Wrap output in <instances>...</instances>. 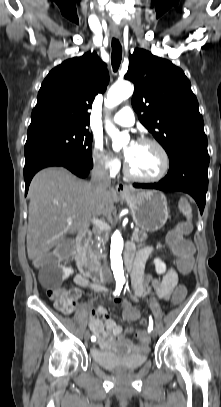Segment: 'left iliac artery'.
<instances>
[{"label": "left iliac artery", "instance_id": "1", "mask_svg": "<svg viewBox=\"0 0 221 407\" xmlns=\"http://www.w3.org/2000/svg\"><path fill=\"white\" fill-rule=\"evenodd\" d=\"M148 329H149V331L153 330V319L151 316L149 317V328Z\"/></svg>", "mask_w": 221, "mask_h": 407}]
</instances>
